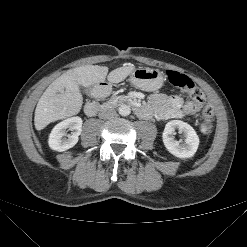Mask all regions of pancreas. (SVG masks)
<instances>
[{"mask_svg":"<svg viewBox=\"0 0 247 247\" xmlns=\"http://www.w3.org/2000/svg\"><path fill=\"white\" fill-rule=\"evenodd\" d=\"M126 100H127L126 96H123V95L116 96V97H113L110 100H108L106 102V105L116 106V105H118V104H120V103H122V102H124Z\"/></svg>","mask_w":247,"mask_h":247,"instance_id":"cf45deb5","label":"pancreas"}]
</instances>
